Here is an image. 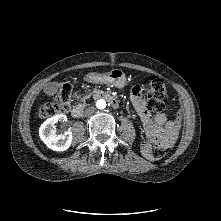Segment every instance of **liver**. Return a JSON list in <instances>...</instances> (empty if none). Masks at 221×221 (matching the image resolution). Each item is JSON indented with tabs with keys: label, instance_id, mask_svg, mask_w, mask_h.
<instances>
[{
	"label": "liver",
	"instance_id": "1",
	"mask_svg": "<svg viewBox=\"0 0 221 221\" xmlns=\"http://www.w3.org/2000/svg\"><path fill=\"white\" fill-rule=\"evenodd\" d=\"M46 93L49 94V95H52V94L55 93V90L54 89H49V90L46 91Z\"/></svg>",
	"mask_w": 221,
	"mask_h": 221
}]
</instances>
